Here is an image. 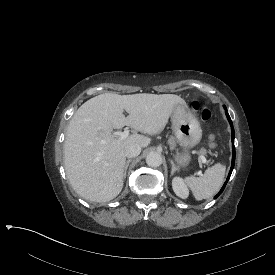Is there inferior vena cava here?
<instances>
[{
  "label": "inferior vena cava",
  "instance_id": "inferior-vena-cava-1",
  "mask_svg": "<svg viewBox=\"0 0 275 275\" xmlns=\"http://www.w3.org/2000/svg\"><path fill=\"white\" fill-rule=\"evenodd\" d=\"M141 152V146L136 143H130L124 148V156L128 158L136 157Z\"/></svg>",
  "mask_w": 275,
  "mask_h": 275
}]
</instances>
